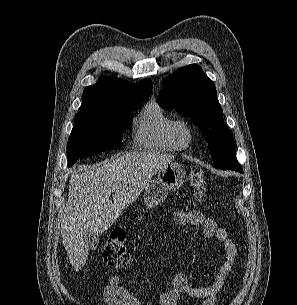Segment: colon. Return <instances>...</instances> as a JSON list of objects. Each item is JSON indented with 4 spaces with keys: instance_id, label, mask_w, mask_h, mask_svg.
I'll use <instances>...</instances> for the list:
<instances>
[{
    "instance_id": "5ec220e1",
    "label": "colon",
    "mask_w": 297,
    "mask_h": 305,
    "mask_svg": "<svg viewBox=\"0 0 297 305\" xmlns=\"http://www.w3.org/2000/svg\"><path fill=\"white\" fill-rule=\"evenodd\" d=\"M189 182L194 190L193 201L189 206H196L203 203L206 198V181L202 169H192L189 174ZM102 259L108 268H119L127 263L128 252L124 232L116 231L109 235L103 247Z\"/></svg>"
}]
</instances>
